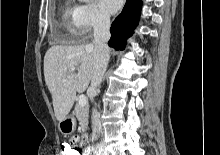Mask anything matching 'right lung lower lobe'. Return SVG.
<instances>
[{
	"label": "right lung lower lobe",
	"instance_id": "1",
	"mask_svg": "<svg viewBox=\"0 0 220 155\" xmlns=\"http://www.w3.org/2000/svg\"><path fill=\"white\" fill-rule=\"evenodd\" d=\"M141 5V0H126L122 12L112 23L110 29L111 38L108 42L110 47L116 50L125 48L127 38L133 34L134 28L139 21Z\"/></svg>",
	"mask_w": 220,
	"mask_h": 155
}]
</instances>
